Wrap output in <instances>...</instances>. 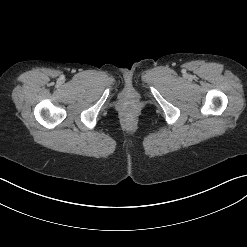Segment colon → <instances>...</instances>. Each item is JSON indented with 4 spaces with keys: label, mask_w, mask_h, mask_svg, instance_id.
<instances>
[{
    "label": "colon",
    "mask_w": 247,
    "mask_h": 247,
    "mask_svg": "<svg viewBox=\"0 0 247 247\" xmlns=\"http://www.w3.org/2000/svg\"><path fill=\"white\" fill-rule=\"evenodd\" d=\"M134 121H135V117H134V115L131 114V113H128V114L124 117V122H125L126 124H128V125L134 123Z\"/></svg>",
    "instance_id": "obj_1"
}]
</instances>
